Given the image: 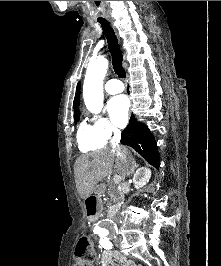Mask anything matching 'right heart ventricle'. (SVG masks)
Wrapping results in <instances>:
<instances>
[{"label": "right heart ventricle", "instance_id": "obj_1", "mask_svg": "<svg viewBox=\"0 0 221 266\" xmlns=\"http://www.w3.org/2000/svg\"><path fill=\"white\" fill-rule=\"evenodd\" d=\"M77 142L82 152L96 151L103 148L106 141L99 136L93 125L81 122L77 132Z\"/></svg>", "mask_w": 221, "mask_h": 266}]
</instances>
